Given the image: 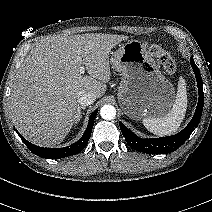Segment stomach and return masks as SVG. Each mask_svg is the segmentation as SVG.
<instances>
[{"instance_id": "0dacf381", "label": "stomach", "mask_w": 212, "mask_h": 212, "mask_svg": "<svg viewBox=\"0 0 212 212\" xmlns=\"http://www.w3.org/2000/svg\"><path fill=\"white\" fill-rule=\"evenodd\" d=\"M110 63L121 73L118 102L129 118H158L170 111L175 98L174 87L142 42L132 39L120 45Z\"/></svg>"}]
</instances>
